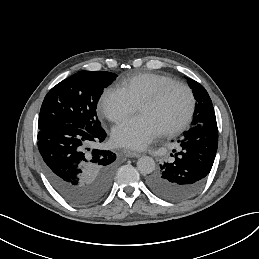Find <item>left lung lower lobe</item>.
Here are the masks:
<instances>
[{"mask_svg": "<svg viewBox=\"0 0 259 259\" xmlns=\"http://www.w3.org/2000/svg\"><path fill=\"white\" fill-rule=\"evenodd\" d=\"M179 150L148 178L149 189L161 198L182 201L202 187L218 148L217 123H201L184 132Z\"/></svg>", "mask_w": 259, "mask_h": 259, "instance_id": "obj_1", "label": "left lung lower lobe"}]
</instances>
